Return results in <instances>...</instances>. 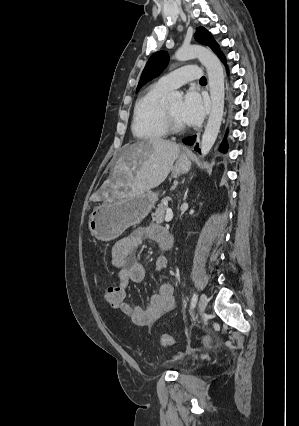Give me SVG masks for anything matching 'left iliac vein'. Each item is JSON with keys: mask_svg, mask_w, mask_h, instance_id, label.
<instances>
[{"mask_svg": "<svg viewBox=\"0 0 299 426\" xmlns=\"http://www.w3.org/2000/svg\"><path fill=\"white\" fill-rule=\"evenodd\" d=\"M207 306V297L204 293H202L200 295V299H199V305H198V311L200 314H202Z\"/></svg>", "mask_w": 299, "mask_h": 426, "instance_id": "obj_1", "label": "left iliac vein"}]
</instances>
